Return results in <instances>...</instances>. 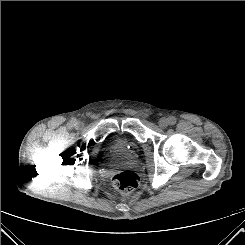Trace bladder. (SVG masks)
<instances>
[{
  "label": "bladder",
  "instance_id": "obj_1",
  "mask_svg": "<svg viewBox=\"0 0 245 245\" xmlns=\"http://www.w3.org/2000/svg\"><path fill=\"white\" fill-rule=\"evenodd\" d=\"M133 148V141L127 136H119L111 143V149L118 153H125L132 150Z\"/></svg>",
  "mask_w": 245,
  "mask_h": 245
}]
</instances>
